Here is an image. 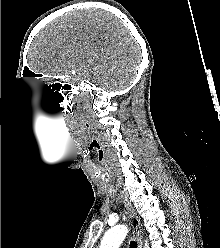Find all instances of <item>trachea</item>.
Instances as JSON below:
<instances>
[{
    "label": "trachea",
    "instance_id": "obj_1",
    "mask_svg": "<svg viewBox=\"0 0 220 248\" xmlns=\"http://www.w3.org/2000/svg\"><path fill=\"white\" fill-rule=\"evenodd\" d=\"M130 248H137V242L134 240L130 241Z\"/></svg>",
    "mask_w": 220,
    "mask_h": 248
}]
</instances>
